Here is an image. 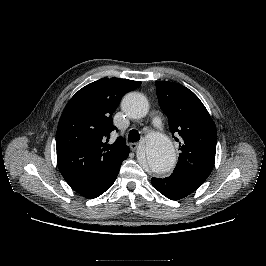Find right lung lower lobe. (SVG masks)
Here are the masks:
<instances>
[{
    "mask_svg": "<svg viewBox=\"0 0 266 266\" xmlns=\"http://www.w3.org/2000/svg\"><path fill=\"white\" fill-rule=\"evenodd\" d=\"M128 157V156H127ZM126 157V158H127ZM122 163V162H121ZM121 163L112 169L110 172L99 177L98 179L81 186L72 187L77 193L86 197V198H96L108 190L115 179L117 178L118 172L121 167Z\"/></svg>",
    "mask_w": 266,
    "mask_h": 266,
    "instance_id": "right-lung-lower-lobe-1",
    "label": "right lung lower lobe"
}]
</instances>
